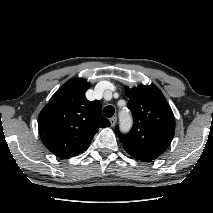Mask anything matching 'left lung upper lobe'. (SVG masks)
<instances>
[{
  "label": "left lung upper lobe",
  "instance_id": "1",
  "mask_svg": "<svg viewBox=\"0 0 213 213\" xmlns=\"http://www.w3.org/2000/svg\"><path fill=\"white\" fill-rule=\"evenodd\" d=\"M134 124L131 131L116 132L128 154L152 161L166 151L175 132L174 114L162 92L155 85L126 88Z\"/></svg>",
  "mask_w": 213,
  "mask_h": 213
}]
</instances>
